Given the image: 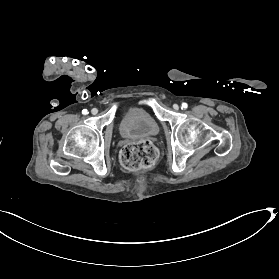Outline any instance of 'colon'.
Segmentation results:
<instances>
[{
    "mask_svg": "<svg viewBox=\"0 0 279 279\" xmlns=\"http://www.w3.org/2000/svg\"><path fill=\"white\" fill-rule=\"evenodd\" d=\"M120 159L131 170L150 168L156 161V149L150 142L128 144L121 150Z\"/></svg>",
    "mask_w": 279,
    "mask_h": 279,
    "instance_id": "colon-1",
    "label": "colon"
}]
</instances>
